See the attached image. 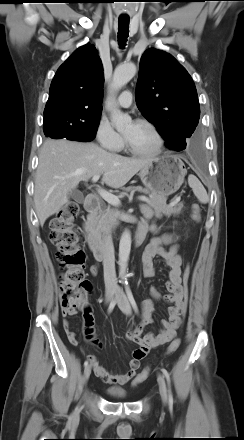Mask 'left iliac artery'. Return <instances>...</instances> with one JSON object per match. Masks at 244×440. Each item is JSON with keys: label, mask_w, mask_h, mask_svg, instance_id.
Masks as SVG:
<instances>
[{"label": "left iliac artery", "mask_w": 244, "mask_h": 440, "mask_svg": "<svg viewBox=\"0 0 244 440\" xmlns=\"http://www.w3.org/2000/svg\"><path fill=\"white\" fill-rule=\"evenodd\" d=\"M125 289H126V293L128 295L129 301H130L133 309L135 310L136 313H138L137 304L135 302V299L133 297V294H132L127 282H125ZM162 372H163V374L167 380L168 386H169V390H168V392H169V405L172 406L173 405V396H172L171 389H170V375H169L168 371L164 368L162 369Z\"/></svg>", "instance_id": "1"}]
</instances>
